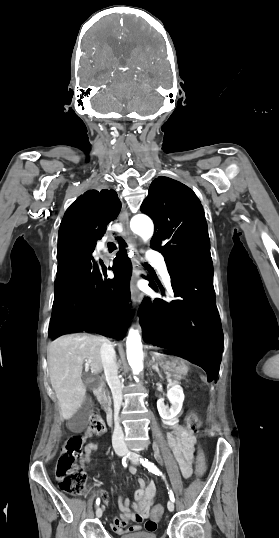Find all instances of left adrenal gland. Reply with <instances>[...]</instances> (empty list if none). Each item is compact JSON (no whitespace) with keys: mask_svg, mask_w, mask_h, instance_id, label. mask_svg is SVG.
<instances>
[{"mask_svg":"<svg viewBox=\"0 0 279 538\" xmlns=\"http://www.w3.org/2000/svg\"><path fill=\"white\" fill-rule=\"evenodd\" d=\"M152 368H153V370H156V372H157L159 378H162V374H160V370H159L157 364H154V362H153V366H152Z\"/></svg>","mask_w":279,"mask_h":538,"instance_id":"obj_1","label":"left adrenal gland"}]
</instances>
